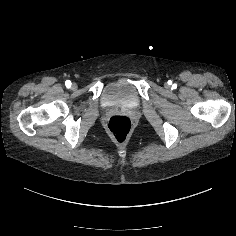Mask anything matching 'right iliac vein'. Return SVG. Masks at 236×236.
<instances>
[{"label":"right iliac vein","mask_w":236,"mask_h":236,"mask_svg":"<svg viewBox=\"0 0 236 236\" xmlns=\"http://www.w3.org/2000/svg\"><path fill=\"white\" fill-rule=\"evenodd\" d=\"M77 88V85L75 83L72 84V89L75 90Z\"/></svg>","instance_id":"1"}]
</instances>
